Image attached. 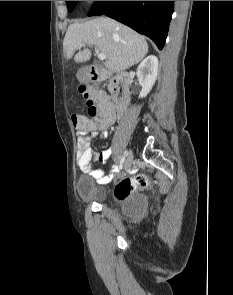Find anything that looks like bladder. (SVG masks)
I'll list each match as a JSON object with an SVG mask.
<instances>
[{"label": "bladder", "mask_w": 233, "mask_h": 295, "mask_svg": "<svg viewBox=\"0 0 233 295\" xmlns=\"http://www.w3.org/2000/svg\"><path fill=\"white\" fill-rule=\"evenodd\" d=\"M78 196L84 201H101L105 196V190L91 177H80L76 184ZM129 208L134 213H141L147 206V197L145 195L133 196L129 203Z\"/></svg>", "instance_id": "bladder-1"}]
</instances>
